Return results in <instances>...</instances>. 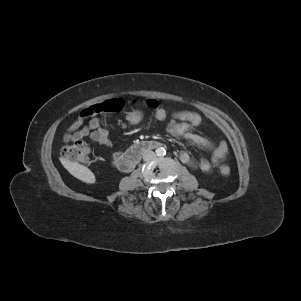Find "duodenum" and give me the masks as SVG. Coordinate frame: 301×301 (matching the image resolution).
I'll use <instances>...</instances> for the list:
<instances>
[{
	"label": "duodenum",
	"instance_id": "obj_1",
	"mask_svg": "<svg viewBox=\"0 0 301 301\" xmlns=\"http://www.w3.org/2000/svg\"><path fill=\"white\" fill-rule=\"evenodd\" d=\"M162 144L158 141L148 140L135 144L122 157L120 167L123 171H129L135 167L141 155L146 151L156 149Z\"/></svg>",
	"mask_w": 301,
	"mask_h": 301
}]
</instances>
